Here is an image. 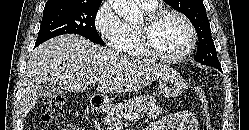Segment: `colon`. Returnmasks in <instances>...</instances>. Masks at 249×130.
<instances>
[{"label":"colon","instance_id":"5ec220e1","mask_svg":"<svg viewBox=\"0 0 249 130\" xmlns=\"http://www.w3.org/2000/svg\"><path fill=\"white\" fill-rule=\"evenodd\" d=\"M194 92L199 101L200 112L206 130H214L210 114V100L204 86L197 85ZM65 99L61 95H56L44 100L42 105L41 127L43 130H51L53 125L63 120Z\"/></svg>","mask_w":249,"mask_h":130}]
</instances>
